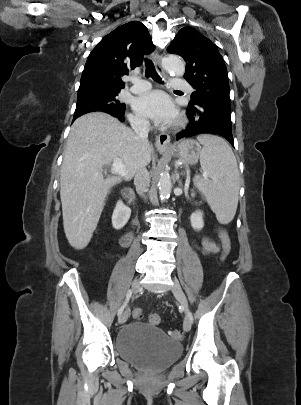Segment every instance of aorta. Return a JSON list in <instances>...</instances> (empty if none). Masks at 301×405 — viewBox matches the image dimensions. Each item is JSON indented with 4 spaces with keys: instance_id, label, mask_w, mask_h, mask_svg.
<instances>
[{
    "instance_id": "1",
    "label": "aorta",
    "mask_w": 301,
    "mask_h": 405,
    "mask_svg": "<svg viewBox=\"0 0 301 405\" xmlns=\"http://www.w3.org/2000/svg\"><path fill=\"white\" fill-rule=\"evenodd\" d=\"M163 67L166 71L174 73L177 76H182L185 72L184 62L176 55H169L163 59ZM159 197L162 201L170 197L172 190V183L170 175L167 171L160 174L159 182Z\"/></svg>"
}]
</instances>
